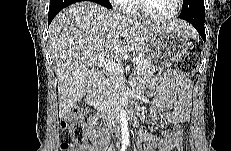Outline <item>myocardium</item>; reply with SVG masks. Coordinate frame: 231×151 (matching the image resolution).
<instances>
[{"label": "myocardium", "mask_w": 231, "mask_h": 151, "mask_svg": "<svg viewBox=\"0 0 231 151\" xmlns=\"http://www.w3.org/2000/svg\"><path fill=\"white\" fill-rule=\"evenodd\" d=\"M181 4H182V0H174V10L171 13L164 16H154L145 12L143 8L142 0H135V11L140 18L146 21L166 22L173 19L179 13Z\"/></svg>", "instance_id": "1"}]
</instances>
